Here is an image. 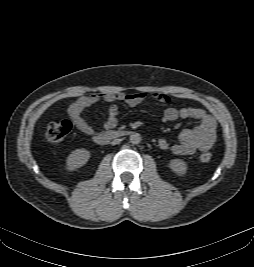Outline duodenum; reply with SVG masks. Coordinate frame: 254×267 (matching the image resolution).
Returning <instances> with one entry per match:
<instances>
[{
    "label": "duodenum",
    "instance_id": "1",
    "mask_svg": "<svg viewBox=\"0 0 254 267\" xmlns=\"http://www.w3.org/2000/svg\"><path fill=\"white\" fill-rule=\"evenodd\" d=\"M129 133L130 132L126 130H109V131H105V132L97 134L94 137V140L96 143L100 145H104L113 139L124 137L128 135Z\"/></svg>",
    "mask_w": 254,
    "mask_h": 267
}]
</instances>
